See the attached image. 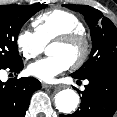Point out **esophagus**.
Returning <instances> with one entry per match:
<instances>
[{"instance_id":"obj_1","label":"esophagus","mask_w":117,"mask_h":117,"mask_svg":"<svg viewBox=\"0 0 117 117\" xmlns=\"http://www.w3.org/2000/svg\"><path fill=\"white\" fill-rule=\"evenodd\" d=\"M42 87L44 88V89H47V88H53L54 86L53 85H50V84H46V83H42Z\"/></svg>"}]
</instances>
